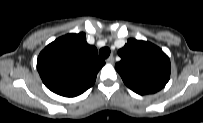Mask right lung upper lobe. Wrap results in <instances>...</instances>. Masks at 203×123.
Instances as JSON below:
<instances>
[{"label":"right lung upper lobe","instance_id":"cb5924a9","mask_svg":"<svg viewBox=\"0 0 203 123\" xmlns=\"http://www.w3.org/2000/svg\"><path fill=\"white\" fill-rule=\"evenodd\" d=\"M104 64L97 49L86 42L85 33H78L67 34L47 45L38 56L37 70L52 92L75 97L94 84Z\"/></svg>","mask_w":203,"mask_h":123}]
</instances>
